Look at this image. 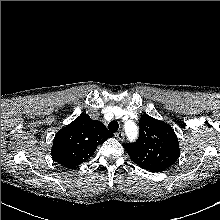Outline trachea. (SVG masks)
<instances>
[{"label": "trachea", "instance_id": "trachea-1", "mask_svg": "<svg viewBox=\"0 0 220 220\" xmlns=\"http://www.w3.org/2000/svg\"><path fill=\"white\" fill-rule=\"evenodd\" d=\"M108 129H109L111 132H116V131H118V129H119V124H118L116 121H111V122L108 124Z\"/></svg>", "mask_w": 220, "mask_h": 220}]
</instances>
